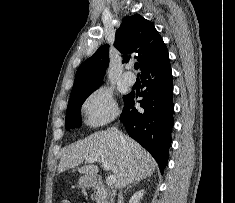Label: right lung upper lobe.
<instances>
[{
  "instance_id": "obj_1",
  "label": "right lung upper lobe",
  "mask_w": 235,
  "mask_h": 203,
  "mask_svg": "<svg viewBox=\"0 0 235 203\" xmlns=\"http://www.w3.org/2000/svg\"><path fill=\"white\" fill-rule=\"evenodd\" d=\"M114 46L122 54L137 52L141 73L168 57V50L154 24L139 14L126 16L116 31ZM108 45L101 46L78 68L72 93L102 83L109 63ZM125 58L123 62L128 61Z\"/></svg>"
}]
</instances>
